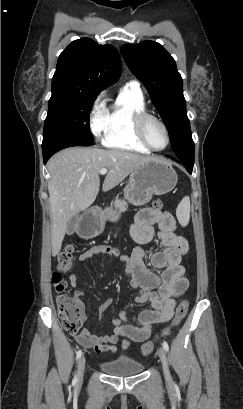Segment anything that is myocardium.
Returning <instances> with one entry per match:
<instances>
[{"label":"myocardium","instance_id":"obj_1","mask_svg":"<svg viewBox=\"0 0 243 409\" xmlns=\"http://www.w3.org/2000/svg\"><path fill=\"white\" fill-rule=\"evenodd\" d=\"M152 119L154 121H156L164 130L167 141H166V145L161 148V149H157L155 148L147 139L146 133H145V123L147 120ZM134 128H135V132L137 137L139 138V140L142 142L143 145H145L148 149H150L151 151H155V152H161L164 151L165 149L168 148L169 144H170V133H169V129L167 127V125L165 124V122L159 118L158 116L151 114L147 111H142L139 112L135 115L134 117Z\"/></svg>","mask_w":243,"mask_h":409}]
</instances>
